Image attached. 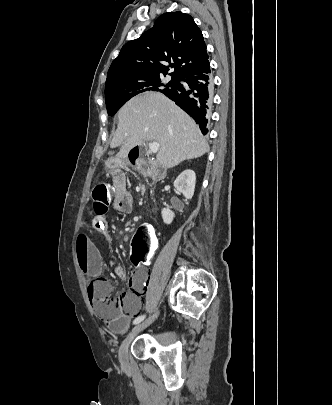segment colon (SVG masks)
I'll return each mask as SVG.
<instances>
[{"label":"colon","mask_w":332,"mask_h":405,"mask_svg":"<svg viewBox=\"0 0 332 405\" xmlns=\"http://www.w3.org/2000/svg\"><path fill=\"white\" fill-rule=\"evenodd\" d=\"M116 184L107 182L98 184L93 189V216L96 227L105 226V215L111 204V199L116 197ZM97 212L96 214L94 212ZM130 248L132 267H149L150 260L157 254V233L151 231L150 224L140 225L134 233ZM90 301L103 319H111L120 315L126 303L131 299L127 293L115 295L114 287L107 278H98L88 287Z\"/></svg>","instance_id":"5ec220e1"}]
</instances>
